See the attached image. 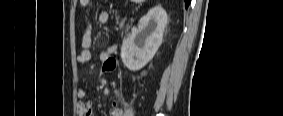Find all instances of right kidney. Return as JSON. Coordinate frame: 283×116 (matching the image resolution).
<instances>
[{"label": "right kidney", "mask_w": 283, "mask_h": 116, "mask_svg": "<svg viewBox=\"0 0 283 116\" xmlns=\"http://www.w3.org/2000/svg\"><path fill=\"white\" fill-rule=\"evenodd\" d=\"M168 16L161 6H156L143 16L138 28L123 41L121 59L130 71L143 68L155 55L163 40Z\"/></svg>", "instance_id": "1"}]
</instances>
